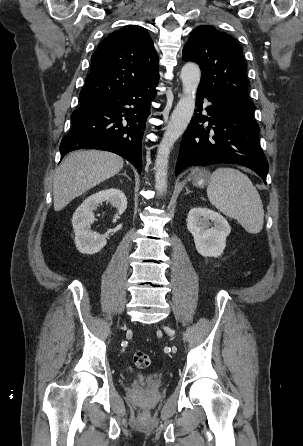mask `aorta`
Wrapping results in <instances>:
<instances>
[{
  "instance_id": "obj_1",
  "label": "aorta",
  "mask_w": 303,
  "mask_h": 446,
  "mask_svg": "<svg viewBox=\"0 0 303 446\" xmlns=\"http://www.w3.org/2000/svg\"><path fill=\"white\" fill-rule=\"evenodd\" d=\"M180 77L183 94L171 114L155 160V188L159 195H163L167 189L170 150L186 130L194 113L196 92L201 78L200 68L194 63H187L182 67Z\"/></svg>"
}]
</instances>
